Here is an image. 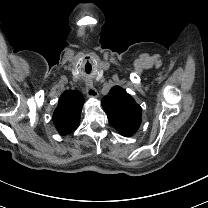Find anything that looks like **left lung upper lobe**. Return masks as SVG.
I'll return each instance as SVG.
<instances>
[{"mask_svg":"<svg viewBox=\"0 0 208 208\" xmlns=\"http://www.w3.org/2000/svg\"><path fill=\"white\" fill-rule=\"evenodd\" d=\"M102 107L112 126L122 135H133L141 124L142 109L133 97L119 86L110 89Z\"/></svg>","mask_w":208,"mask_h":208,"instance_id":"left-lung-upper-lobe-1","label":"left lung upper lobe"}]
</instances>
